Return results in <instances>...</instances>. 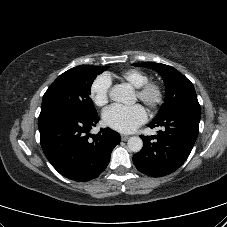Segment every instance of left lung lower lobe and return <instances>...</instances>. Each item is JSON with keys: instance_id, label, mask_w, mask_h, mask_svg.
<instances>
[{"instance_id": "obj_1", "label": "left lung lower lobe", "mask_w": 227, "mask_h": 227, "mask_svg": "<svg viewBox=\"0 0 227 227\" xmlns=\"http://www.w3.org/2000/svg\"><path fill=\"white\" fill-rule=\"evenodd\" d=\"M200 109H182L165 118L153 120L151 128L163 126L156 136H142L144 147L133 156L136 168L153 177L168 175L188 158L196 141Z\"/></svg>"}]
</instances>
